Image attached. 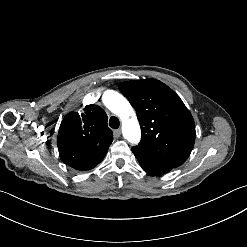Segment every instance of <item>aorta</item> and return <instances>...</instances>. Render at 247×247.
<instances>
[{
  "mask_svg": "<svg viewBox=\"0 0 247 247\" xmlns=\"http://www.w3.org/2000/svg\"><path fill=\"white\" fill-rule=\"evenodd\" d=\"M102 100L106 107L121 119L124 138L132 144L139 143L140 125L128 100L113 90L105 91Z\"/></svg>",
  "mask_w": 247,
  "mask_h": 247,
  "instance_id": "aorta-1",
  "label": "aorta"
}]
</instances>
